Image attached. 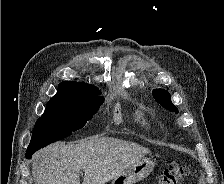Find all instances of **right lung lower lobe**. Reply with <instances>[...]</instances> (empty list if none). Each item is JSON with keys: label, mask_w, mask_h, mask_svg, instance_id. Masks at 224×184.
Returning <instances> with one entry per match:
<instances>
[{"label": "right lung lower lobe", "mask_w": 224, "mask_h": 184, "mask_svg": "<svg viewBox=\"0 0 224 184\" xmlns=\"http://www.w3.org/2000/svg\"><path fill=\"white\" fill-rule=\"evenodd\" d=\"M34 153V151H29V150H27L26 151V158H30L31 156H32V154Z\"/></svg>", "instance_id": "1"}]
</instances>
